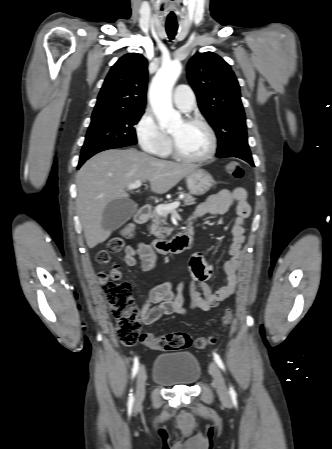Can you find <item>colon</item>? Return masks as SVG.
<instances>
[{
    "instance_id": "5ec220e1",
    "label": "colon",
    "mask_w": 332,
    "mask_h": 449,
    "mask_svg": "<svg viewBox=\"0 0 332 449\" xmlns=\"http://www.w3.org/2000/svg\"><path fill=\"white\" fill-rule=\"evenodd\" d=\"M227 173L236 179L242 178L244 171L240 163L232 161L226 165ZM135 234V226L128 224L121 230V236L111 239L107 246L96 255V262L101 267H106L110 262V255L121 250L124 238L130 239ZM119 266H114L110 272L113 282H106L107 274L99 273V278L105 283L104 293L110 305L111 312L117 320V335L125 345H134L137 342L156 350L176 351L188 348L193 340L190 334L185 332L169 333L155 336L149 333H141V324L138 319L139 310L134 305L131 285L126 281H119ZM232 321V312L227 310L221 318V328L225 329ZM215 336L208 339L199 337L194 340L197 348H204L209 344H215Z\"/></svg>"
}]
</instances>
